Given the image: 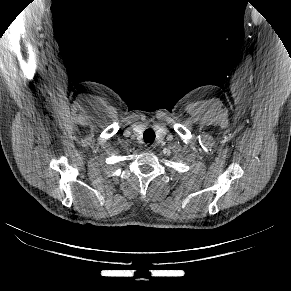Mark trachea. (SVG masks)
I'll use <instances>...</instances> for the list:
<instances>
[{
	"label": "trachea",
	"instance_id": "trachea-1",
	"mask_svg": "<svg viewBox=\"0 0 291 291\" xmlns=\"http://www.w3.org/2000/svg\"><path fill=\"white\" fill-rule=\"evenodd\" d=\"M143 138L145 143L152 144L155 140V132L152 129H147L143 134Z\"/></svg>",
	"mask_w": 291,
	"mask_h": 291
}]
</instances>
